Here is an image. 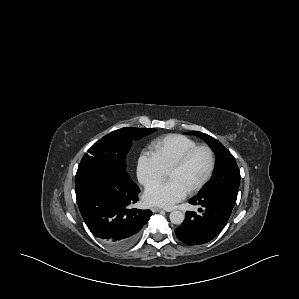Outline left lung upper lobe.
Returning a JSON list of instances; mask_svg holds the SVG:
<instances>
[{
    "label": "left lung upper lobe",
    "mask_w": 299,
    "mask_h": 299,
    "mask_svg": "<svg viewBox=\"0 0 299 299\" xmlns=\"http://www.w3.org/2000/svg\"><path fill=\"white\" fill-rule=\"evenodd\" d=\"M187 134H194L205 140L217 157L213 178L199 193V196L210 193H223L236 201L240 171L233 155L218 140L205 133L192 131L187 132Z\"/></svg>",
    "instance_id": "5c2ea615"
}]
</instances>
